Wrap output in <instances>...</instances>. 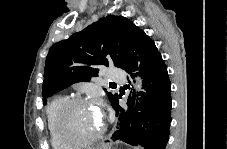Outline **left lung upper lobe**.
Segmentation results:
<instances>
[{
	"label": "left lung upper lobe",
	"instance_id": "5c2ea615",
	"mask_svg": "<svg viewBox=\"0 0 227 149\" xmlns=\"http://www.w3.org/2000/svg\"><path fill=\"white\" fill-rule=\"evenodd\" d=\"M135 28L138 27L125 17L110 15L54 44L45 63L43 103L47 97L73 83L98 76L101 65L123 68ZM107 95L111 103L118 96L110 92Z\"/></svg>",
	"mask_w": 227,
	"mask_h": 149
}]
</instances>
